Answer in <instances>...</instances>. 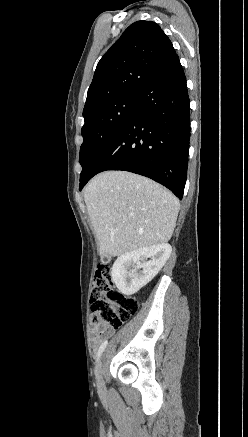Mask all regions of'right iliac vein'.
I'll list each match as a JSON object with an SVG mask.
<instances>
[{
    "instance_id": "63e3f726",
    "label": "right iliac vein",
    "mask_w": 248,
    "mask_h": 437,
    "mask_svg": "<svg viewBox=\"0 0 248 437\" xmlns=\"http://www.w3.org/2000/svg\"><path fill=\"white\" fill-rule=\"evenodd\" d=\"M95 374H96L97 384H98L99 387H101L102 384H103V379H102V358H100L98 360V362H97Z\"/></svg>"
}]
</instances>
